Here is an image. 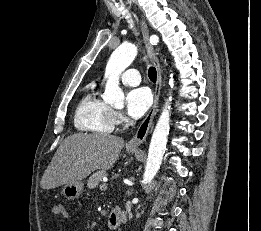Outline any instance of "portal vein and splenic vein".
Wrapping results in <instances>:
<instances>
[{
	"instance_id": "portal-vein-and-splenic-vein-1",
	"label": "portal vein and splenic vein",
	"mask_w": 261,
	"mask_h": 231,
	"mask_svg": "<svg viewBox=\"0 0 261 231\" xmlns=\"http://www.w3.org/2000/svg\"><path fill=\"white\" fill-rule=\"evenodd\" d=\"M107 183H103L100 185V190H106L107 189Z\"/></svg>"
}]
</instances>
